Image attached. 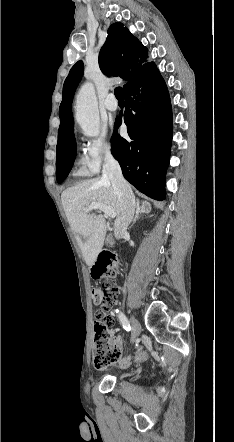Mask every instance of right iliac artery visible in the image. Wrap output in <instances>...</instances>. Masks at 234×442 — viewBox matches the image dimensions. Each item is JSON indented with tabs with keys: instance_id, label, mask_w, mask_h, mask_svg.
Returning <instances> with one entry per match:
<instances>
[{
	"instance_id": "obj_1",
	"label": "right iliac artery",
	"mask_w": 234,
	"mask_h": 442,
	"mask_svg": "<svg viewBox=\"0 0 234 442\" xmlns=\"http://www.w3.org/2000/svg\"><path fill=\"white\" fill-rule=\"evenodd\" d=\"M116 313H118V317L120 319V322L123 325V328L127 331H130L131 326H130V323H129L128 319L126 318V316L122 312H120L119 310H116Z\"/></svg>"
}]
</instances>
